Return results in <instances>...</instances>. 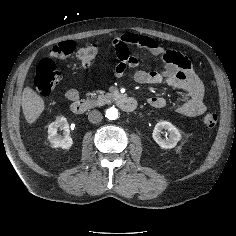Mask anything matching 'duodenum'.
<instances>
[{
  "mask_svg": "<svg viewBox=\"0 0 236 236\" xmlns=\"http://www.w3.org/2000/svg\"><path fill=\"white\" fill-rule=\"evenodd\" d=\"M116 105L126 112H133L137 108V101L129 96H118L115 98ZM101 104L98 99H80L71 105V110L76 114H82L88 110L94 109Z\"/></svg>",
  "mask_w": 236,
  "mask_h": 236,
  "instance_id": "410a0bca",
  "label": "duodenum"
}]
</instances>
